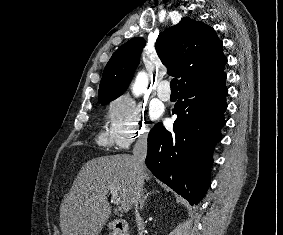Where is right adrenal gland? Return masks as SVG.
<instances>
[{"instance_id": "1", "label": "right adrenal gland", "mask_w": 283, "mask_h": 235, "mask_svg": "<svg viewBox=\"0 0 283 235\" xmlns=\"http://www.w3.org/2000/svg\"><path fill=\"white\" fill-rule=\"evenodd\" d=\"M153 193H155L154 190L147 192L146 194L142 193V199H141V202H140V209L143 208L144 203H145L146 199L148 198V196L152 195Z\"/></svg>"}]
</instances>
